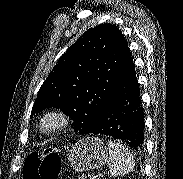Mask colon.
Returning a JSON list of instances; mask_svg holds the SVG:
<instances>
[{"label":"colon","instance_id":"colon-1","mask_svg":"<svg viewBox=\"0 0 183 179\" xmlns=\"http://www.w3.org/2000/svg\"><path fill=\"white\" fill-rule=\"evenodd\" d=\"M61 160L55 149L31 153L23 167V179H57Z\"/></svg>","mask_w":183,"mask_h":179}]
</instances>
